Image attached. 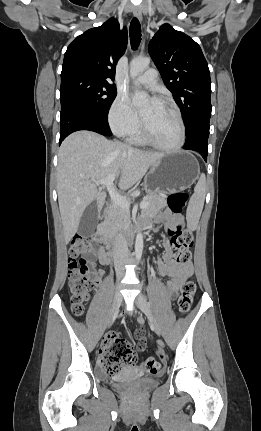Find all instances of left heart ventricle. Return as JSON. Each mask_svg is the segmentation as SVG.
<instances>
[{"label": "left heart ventricle", "instance_id": "b2bd125f", "mask_svg": "<svg viewBox=\"0 0 261 431\" xmlns=\"http://www.w3.org/2000/svg\"><path fill=\"white\" fill-rule=\"evenodd\" d=\"M148 108L144 110L147 111ZM144 124L161 145L172 146L179 138V124L175 114L163 104L149 112Z\"/></svg>", "mask_w": 261, "mask_h": 431}]
</instances>
